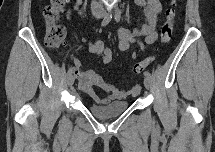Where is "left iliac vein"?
<instances>
[{
  "label": "left iliac vein",
  "instance_id": "left-iliac-vein-1",
  "mask_svg": "<svg viewBox=\"0 0 215 152\" xmlns=\"http://www.w3.org/2000/svg\"><path fill=\"white\" fill-rule=\"evenodd\" d=\"M144 85L146 88H149L151 85V78L149 76H145L144 78Z\"/></svg>",
  "mask_w": 215,
  "mask_h": 152
}]
</instances>
